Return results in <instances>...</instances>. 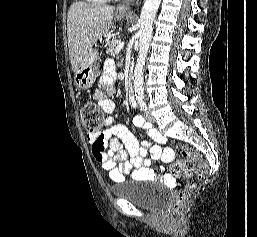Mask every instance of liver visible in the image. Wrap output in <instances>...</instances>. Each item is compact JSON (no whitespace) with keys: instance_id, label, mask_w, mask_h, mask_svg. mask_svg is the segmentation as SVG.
Here are the masks:
<instances>
[{"instance_id":"1","label":"liver","mask_w":257,"mask_h":237,"mask_svg":"<svg viewBox=\"0 0 257 237\" xmlns=\"http://www.w3.org/2000/svg\"><path fill=\"white\" fill-rule=\"evenodd\" d=\"M111 6L73 3L68 11L67 35L71 68L76 72L94 44L106 35L112 25Z\"/></svg>"}]
</instances>
